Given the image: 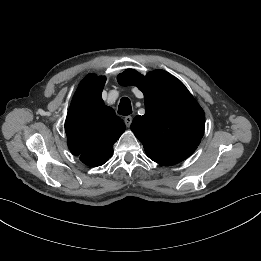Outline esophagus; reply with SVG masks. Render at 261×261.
Wrapping results in <instances>:
<instances>
[{
	"label": "esophagus",
	"instance_id": "obj_1",
	"mask_svg": "<svg viewBox=\"0 0 261 261\" xmlns=\"http://www.w3.org/2000/svg\"><path fill=\"white\" fill-rule=\"evenodd\" d=\"M132 120H133V118H132L131 116H126V117L124 118V122H125V124H126L127 127H129V126L131 125Z\"/></svg>",
	"mask_w": 261,
	"mask_h": 261
}]
</instances>
